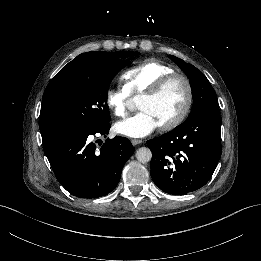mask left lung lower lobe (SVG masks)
<instances>
[{"label": "left lung lower lobe", "mask_w": 261, "mask_h": 261, "mask_svg": "<svg viewBox=\"0 0 261 261\" xmlns=\"http://www.w3.org/2000/svg\"><path fill=\"white\" fill-rule=\"evenodd\" d=\"M147 143L154 183L173 195L193 192L207 184L220 159V113H202Z\"/></svg>", "instance_id": "obj_1"}]
</instances>
